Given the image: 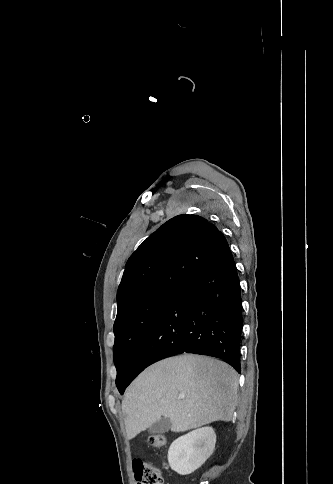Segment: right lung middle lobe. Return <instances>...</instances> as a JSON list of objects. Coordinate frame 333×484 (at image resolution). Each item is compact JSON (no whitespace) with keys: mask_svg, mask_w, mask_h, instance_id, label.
<instances>
[{"mask_svg":"<svg viewBox=\"0 0 333 484\" xmlns=\"http://www.w3.org/2000/svg\"><path fill=\"white\" fill-rule=\"evenodd\" d=\"M176 294L169 290L134 306L114 323V363L117 369L116 386L124 391L137 350L156 322L168 301Z\"/></svg>","mask_w":333,"mask_h":484,"instance_id":"dd1d6c3e","label":"right lung middle lobe"}]
</instances>
